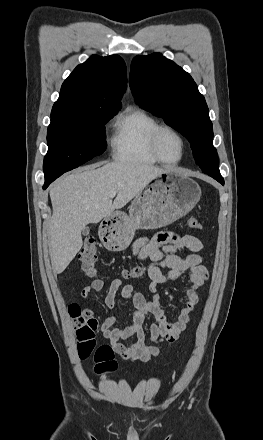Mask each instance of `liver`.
Instances as JSON below:
<instances>
[{
  "mask_svg": "<svg viewBox=\"0 0 263 440\" xmlns=\"http://www.w3.org/2000/svg\"><path fill=\"white\" fill-rule=\"evenodd\" d=\"M153 165L116 161L84 167L58 180L50 189L53 215L49 252L53 271L62 273L83 241L82 230L121 209L156 177L165 173ZM116 192L112 202L109 193Z\"/></svg>",
  "mask_w": 263,
  "mask_h": 440,
  "instance_id": "liver-1",
  "label": "liver"
}]
</instances>
